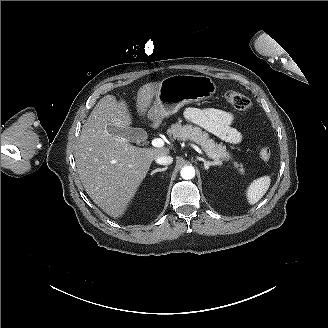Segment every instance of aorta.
Listing matches in <instances>:
<instances>
[{"label":"aorta","mask_w":328,"mask_h":328,"mask_svg":"<svg viewBox=\"0 0 328 328\" xmlns=\"http://www.w3.org/2000/svg\"><path fill=\"white\" fill-rule=\"evenodd\" d=\"M180 174L183 179L189 180L195 176V169L192 166H184L181 169Z\"/></svg>","instance_id":"762f6f07"}]
</instances>
